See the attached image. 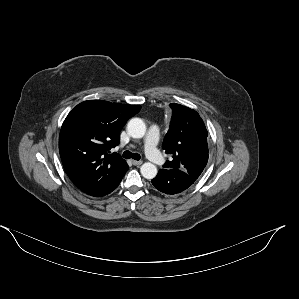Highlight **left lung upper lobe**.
Wrapping results in <instances>:
<instances>
[{"instance_id": "5c2ea615", "label": "left lung upper lobe", "mask_w": 299, "mask_h": 299, "mask_svg": "<svg viewBox=\"0 0 299 299\" xmlns=\"http://www.w3.org/2000/svg\"><path fill=\"white\" fill-rule=\"evenodd\" d=\"M172 119L163 142V149L172 155L164 168L180 169L194 181L208 161L207 130L199 114L186 106L170 104Z\"/></svg>"}]
</instances>
